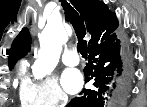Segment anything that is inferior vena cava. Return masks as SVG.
<instances>
[{
  "mask_svg": "<svg viewBox=\"0 0 147 107\" xmlns=\"http://www.w3.org/2000/svg\"><path fill=\"white\" fill-rule=\"evenodd\" d=\"M63 99H64V101L66 102V101H67V96L64 95Z\"/></svg>",
  "mask_w": 147,
  "mask_h": 107,
  "instance_id": "1",
  "label": "inferior vena cava"
}]
</instances>
